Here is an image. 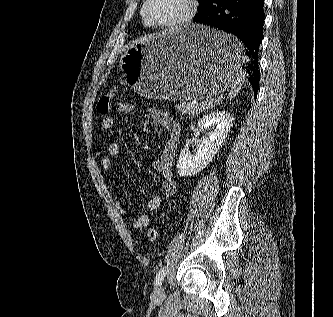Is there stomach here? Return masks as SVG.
<instances>
[{
	"label": "stomach",
	"mask_w": 333,
	"mask_h": 317,
	"mask_svg": "<svg viewBox=\"0 0 333 317\" xmlns=\"http://www.w3.org/2000/svg\"><path fill=\"white\" fill-rule=\"evenodd\" d=\"M246 45L229 29L191 25L142 38L120 57L127 83L142 97L202 100L235 88Z\"/></svg>",
	"instance_id": "stomach-1"
}]
</instances>
